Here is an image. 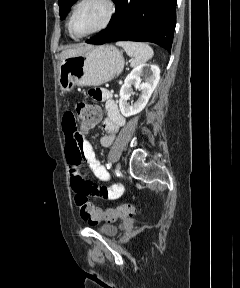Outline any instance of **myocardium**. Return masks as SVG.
<instances>
[{"label": "myocardium", "mask_w": 240, "mask_h": 288, "mask_svg": "<svg viewBox=\"0 0 240 288\" xmlns=\"http://www.w3.org/2000/svg\"><path fill=\"white\" fill-rule=\"evenodd\" d=\"M87 1H89V0H79L78 1V3L73 8V11L71 13V16H70V19L68 22L69 32L75 38H85V37L97 34L101 31L105 30L110 25V23L114 17V14H115V4H114L113 0H101L107 8L106 16H105L102 24L99 27H97L96 29H94V30H92L86 34H82V35L76 34L73 30V19L75 17L77 10L79 9V7L81 5H83L84 3H86Z\"/></svg>", "instance_id": "myocardium-1"}]
</instances>
